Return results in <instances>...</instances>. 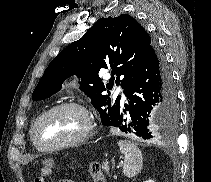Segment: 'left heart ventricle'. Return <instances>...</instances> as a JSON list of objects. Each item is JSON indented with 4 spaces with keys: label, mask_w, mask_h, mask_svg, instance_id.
<instances>
[{
    "label": "left heart ventricle",
    "mask_w": 211,
    "mask_h": 182,
    "mask_svg": "<svg viewBox=\"0 0 211 182\" xmlns=\"http://www.w3.org/2000/svg\"><path fill=\"white\" fill-rule=\"evenodd\" d=\"M85 126L86 118L83 113L73 108H63L40 122L36 138L41 146H49L79 135Z\"/></svg>",
    "instance_id": "1"
}]
</instances>
